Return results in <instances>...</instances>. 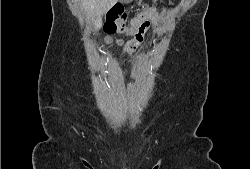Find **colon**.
<instances>
[{
    "instance_id": "1",
    "label": "colon",
    "mask_w": 250,
    "mask_h": 169,
    "mask_svg": "<svg viewBox=\"0 0 250 169\" xmlns=\"http://www.w3.org/2000/svg\"><path fill=\"white\" fill-rule=\"evenodd\" d=\"M128 14L122 6L112 7L107 15L103 29L108 34H115L125 31ZM139 22L134 32V42L127 44L129 53H137L139 45L144 41L146 32L150 28V22L143 16L138 17ZM150 34L153 37H158L161 34V29L158 26H153L150 29Z\"/></svg>"
}]
</instances>
